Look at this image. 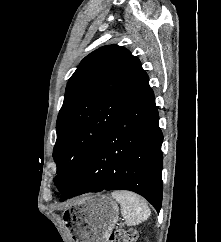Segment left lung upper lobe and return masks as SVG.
Masks as SVG:
<instances>
[{
	"instance_id": "obj_1",
	"label": "left lung upper lobe",
	"mask_w": 221,
	"mask_h": 242,
	"mask_svg": "<svg viewBox=\"0 0 221 242\" xmlns=\"http://www.w3.org/2000/svg\"><path fill=\"white\" fill-rule=\"evenodd\" d=\"M149 88L139 59L122 46L101 47L81 61L67 83L56 123L59 191L79 179L102 134Z\"/></svg>"
}]
</instances>
